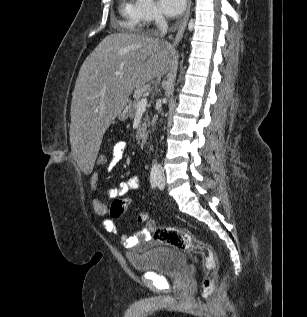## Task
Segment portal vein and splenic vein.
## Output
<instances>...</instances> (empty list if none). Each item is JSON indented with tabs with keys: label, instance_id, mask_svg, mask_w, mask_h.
<instances>
[{
	"label": "portal vein and splenic vein",
	"instance_id": "1",
	"mask_svg": "<svg viewBox=\"0 0 307 317\" xmlns=\"http://www.w3.org/2000/svg\"><path fill=\"white\" fill-rule=\"evenodd\" d=\"M147 106V99L146 98H142L137 105V112H143L145 111Z\"/></svg>",
	"mask_w": 307,
	"mask_h": 317
}]
</instances>
